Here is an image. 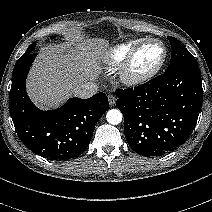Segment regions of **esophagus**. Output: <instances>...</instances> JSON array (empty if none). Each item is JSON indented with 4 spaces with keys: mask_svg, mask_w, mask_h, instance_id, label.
Masks as SVG:
<instances>
[{
    "mask_svg": "<svg viewBox=\"0 0 212 212\" xmlns=\"http://www.w3.org/2000/svg\"><path fill=\"white\" fill-rule=\"evenodd\" d=\"M108 100H109V104H110L111 106H113V105L115 104V102H116V98H115V96H113V95H109V96H108Z\"/></svg>",
    "mask_w": 212,
    "mask_h": 212,
    "instance_id": "1",
    "label": "esophagus"
}]
</instances>
